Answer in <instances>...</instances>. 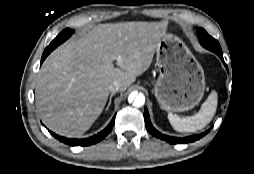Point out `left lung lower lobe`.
Returning a JSON list of instances; mask_svg holds the SVG:
<instances>
[{"mask_svg":"<svg viewBox=\"0 0 254 174\" xmlns=\"http://www.w3.org/2000/svg\"><path fill=\"white\" fill-rule=\"evenodd\" d=\"M217 55L221 58L224 65L226 66V64L223 60L222 52L217 53ZM226 68H227V66H226ZM144 119H145V126L150 134H152L153 136L158 137L162 140H165V141L169 142L170 144H182V143L194 142V141L202 138L203 136H205L210 131V129H209L206 132H204L202 134L195 135V136H188L185 138H176V137L163 135L152 126L147 108H145V110H144Z\"/></svg>","mask_w":254,"mask_h":174,"instance_id":"obj_1","label":"left lung lower lobe"}]
</instances>
